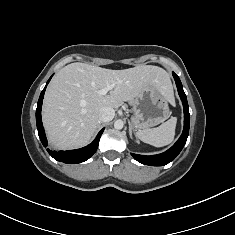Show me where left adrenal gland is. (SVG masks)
Instances as JSON below:
<instances>
[{
    "instance_id": "left-adrenal-gland-1",
    "label": "left adrenal gland",
    "mask_w": 235,
    "mask_h": 235,
    "mask_svg": "<svg viewBox=\"0 0 235 235\" xmlns=\"http://www.w3.org/2000/svg\"><path fill=\"white\" fill-rule=\"evenodd\" d=\"M128 124H129V135L132 138V130H133V128H132V124H131V122L129 120H128Z\"/></svg>"
}]
</instances>
